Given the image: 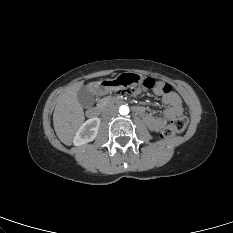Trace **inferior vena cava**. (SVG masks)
I'll return each instance as SVG.
<instances>
[{
    "instance_id": "inferior-vena-cava-1",
    "label": "inferior vena cava",
    "mask_w": 233,
    "mask_h": 233,
    "mask_svg": "<svg viewBox=\"0 0 233 233\" xmlns=\"http://www.w3.org/2000/svg\"><path fill=\"white\" fill-rule=\"evenodd\" d=\"M117 115V110L114 108H110L107 109L104 113H103V118L105 120H110L112 118H114Z\"/></svg>"
}]
</instances>
